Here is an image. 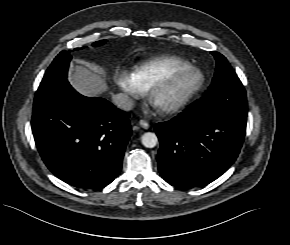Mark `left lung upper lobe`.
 Masks as SVG:
<instances>
[{
  "instance_id": "obj_1",
  "label": "left lung upper lobe",
  "mask_w": 290,
  "mask_h": 245,
  "mask_svg": "<svg viewBox=\"0 0 290 245\" xmlns=\"http://www.w3.org/2000/svg\"><path fill=\"white\" fill-rule=\"evenodd\" d=\"M211 54L216 59V72L206 93L230 86H243L227 59L218 52H211Z\"/></svg>"
}]
</instances>
